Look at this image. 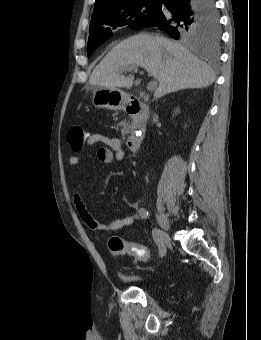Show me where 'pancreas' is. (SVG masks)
I'll list each match as a JSON object with an SVG mask.
<instances>
[{
    "instance_id": "cf45deb5",
    "label": "pancreas",
    "mask_w": 261,
    "mask_h": 340,
    "mask_svg": "<svg viewBox=\"0 0 261 340\" xmlns=\"http://www.w3.org/2000/svg\"><path fill=\"white\" fill-rule=\"evenodd\" d=\"M121 133H122L123 138H125V136L129 133V130H128L126 124L123 126V129L121 130Z\"/></svg>"
}]
</instances>
